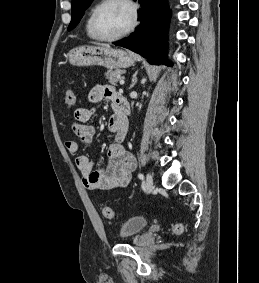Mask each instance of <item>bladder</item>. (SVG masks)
<instances>
[{"label":"bladder","instance_id":"bladder-1","mask_svg":"<svg viewBox=\"0 0 259 283\" xmlns=\"http://www.w3.org/2000/svg\"><path fill=\"white\" fill-rule=\"evenodd\" d=\"M148 225V220L144 217L135 216L126 220L119 229V238L126 240L134 237Z\"/></svg>","mask_w":259,"mask_h":283}]
</instances>
